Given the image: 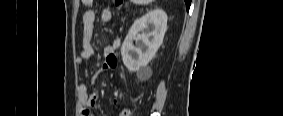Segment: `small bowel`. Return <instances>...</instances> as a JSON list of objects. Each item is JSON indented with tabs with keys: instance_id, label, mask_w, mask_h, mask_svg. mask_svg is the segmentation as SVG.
Segmentation results:
<instances>
[{
	"instance_id": "c3829d8e",
	"label": "small bowel",
	"mask_w": 283,
	"mask_h": 116,
	"mask_svg": "<svg viewBox=\"0 0 283 116\" xmlns=\"http://www.w3.org/2000/svg\"><path fill=\"white\" fill-rule=\"evenodd\" d=\"M83 4H85L88 9L84 12L82 18V34H81V45L82 49L77 57L76 61L79 65H83L86 61L90 60L94 54L95 50L92 46V37L94 33V21L96 13L98 12V6L93 0H83ZM100 21L103 23H107L111 19V12L107 8H103L99 11ZM121 40L120 38H116L104 51L106 55V62L103 66L104 69H111L115 67L117 63V59L115 56V52L120 47ZM77 96L79 100V106L81 109V115L86 116L90 115L89 109L94 108L98 102V92L96 90H89V88L85 84H81L77 90ZM113 103L116 104L117 100L114 99ZM130 109H123L120 112V116H130Z\"/></svg>"
}]
</instances>
